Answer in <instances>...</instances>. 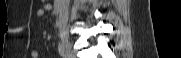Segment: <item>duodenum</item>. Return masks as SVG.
<instances>
[{"label": "duodenum", "mask_w": 181, "mask_h": 58, "mask_svg": "<svg viewBox=\"0 0 181 58\" xmlns=\"http://www.w3.org/2000/svg\"><path fill=\"white\" fill-rule=\"evenodd\" d=\"M64 0H55L54 6L57 13H62L64 10Z\"/></svg>", "instance_id": "duodenum-1"}]
</instances>
